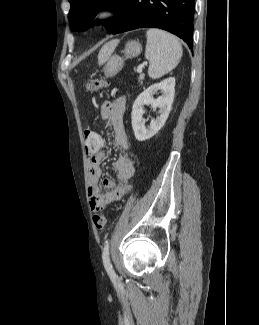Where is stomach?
Returning <instances> with one entry per match:
<instances>
[{"instance_id": "0dacf381", "label": "stomach", "mask_w": 259, "mask_h": 325, "mask_svg": "<svg viewBox=\"0 0 259 325\" xmlns=\"http://www.w3.org/2000/svg\"><path fill=\"white\" fill-rule=\"evenodd\" d=\"M141 51H142V46L138 41L136 40L128 41L123 51L124 53L123 57H120L118 55H113L109 57L104 67L105 76L112 77L116 75L123 68L125 60L137 57L141 53Z\"/></svg>"}]
</instances>
